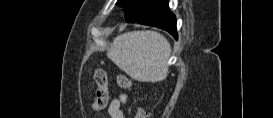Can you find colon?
I'll return each instance as SVG.
<instances>
[{
  "label": "colon",
  "mask_w": 273,
  "mask_h": 118,
  "mask_svg": "<svg viewBox=\"0 0 273 118\" xmlns=\"http://www.w3.org/2000/svg\"><path fill=\"white\" fill-rule=\"evenodd\" d=\"M97 85L95 99L93 102L94 110H102L107 107L109 102L108 78L107 73L103 69H97L94 74ZM117 84L120 88L129 89L132 86V80L126 75H118ZM147 114L144 109H139L134 118H146Z\"/></svg>",
  "instance_id": "1"
}]
</instances>
